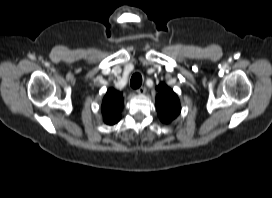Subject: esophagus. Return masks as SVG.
<instances>
[{
	"label": "esophagus",
	"instance_id": "34e87169",
	"mask_svg": "<svg viewBox=\"0 0 272 198\" xmlns=\"http://www.w3.org/2000/svg\"><path fill=\"white\" fill-rule=\"evenodd\" d=\"M136 92L139 95H144L146 93V88L145 87H140L139 89L136 90Z\"/></svg>",
	"mask_w": 272,
	"mask_h": 198
}]
</instances>
